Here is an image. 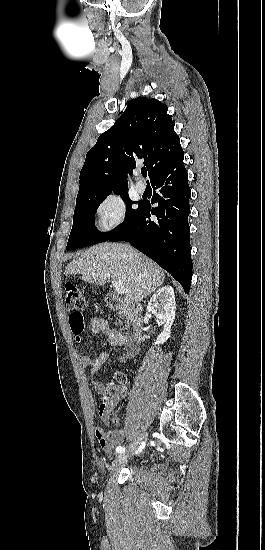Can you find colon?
Instances as JSON below:
<instances>
[{"label": "colon", "instance_id": "colon-1", "mask_svg": "<svg viewBox=\"0 0 265 550\" xmlns=\"http://www.w3.org/2000/svg\"><path fill=\"white\" fill-rule=\"evenodd\" d=\"M65 301L67 307L71 310L69 322L72 332L78 337V334L84 330L85 319L82 310L86 306V297L82 290L71 282L64 284ZM115 380L118 383L125 381V376L122 373L115 374ZM124 395V390L119 384L112 383L109 385L102 397L100 407L107 415L119 403Z\"/></svg>", "mask_w": 265, "mask_h": 550}]
</instances>
